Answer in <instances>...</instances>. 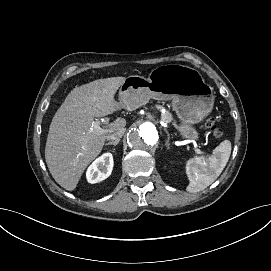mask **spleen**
<instances>
[{
	"label": "spleen",
	"mask_w": 271,
	"mask_h": 271,
	"mask_svg": "<svg viewBox=\"0 0 271 271\" xmlns=\"http://www.w3.org/2000/svg\"><path fill=\"white\" fill-rule=\"evenodd\" d=\"M231 154V142L224 140L209 158L194 157L187 161L186 173L190 180L187 191L191 193L205 189L222 173Z\"/></svg>",
	"instance_id": "1"
}]
</instances>
